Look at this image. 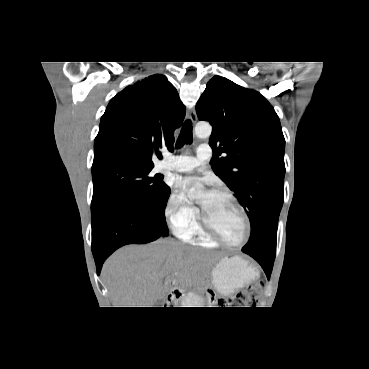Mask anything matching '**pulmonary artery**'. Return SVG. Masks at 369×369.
Here are the masks:
<instances>
[{
    "label": "pulmonary artery",
    "mask_w": 369,
    "mask_h": 369,
    "mask_svg": "<svg viewBox=\"0 0 369 369\" xmlns=\"http://www.w3.org/2000/svg\"><path fill=\"white\" fill-rule=\"evenodd\" d=\"M211 157L212 151L210 146L202 144L198 147L195 157L188 155L168 156L160 163V168L163 170L187 172L209 161Z\"/></svg>",
    "instance_id": "obj_1"
}]
</instances>
